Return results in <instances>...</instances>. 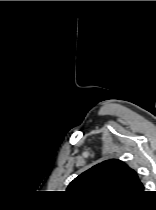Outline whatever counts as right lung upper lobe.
I'll return each instance as SVG.
<instances>
[{
  "instance_id": "right-lung-upper-lobe-1",
  "label": "right lung upper lobe",
  "mask_w": 156,
  "mask_h": 210,
  "mask_svg": "<svg viewBox=\"0 0 156 210\" xmlns=\"http://www.w3.org/2000/svg\"><path fill=\"white\" fill-rule=\"evenodd\" d=\"M137 173L123 161L110 159L76 177L67 191L91 200L123 201L143 193Z\"/></svg>"
}]
</instances>
